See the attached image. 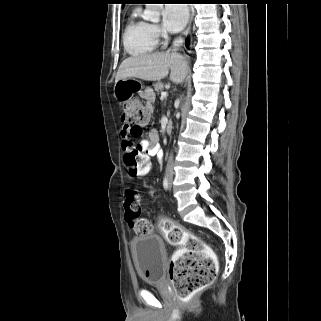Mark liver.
<instances>
[{
  "mask_svg": "<svg viewBox=\"0 0 321 321\" xmlns=\"http://www.w3.org/2000/svg\"><path fill=\"white\" fill-rule=\"evenodd\" d=\"M169 70L172 82H183L188 72L185 57L176 51L131 56L121 63L115 81L126 78L159 81L168 75Z\"/></svg>",
  "mask_w": 321,
  "mask_h": 321,
  "instance_id": "1",
  "label": "liver"
}]
</instances>
